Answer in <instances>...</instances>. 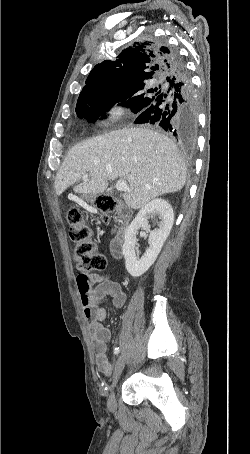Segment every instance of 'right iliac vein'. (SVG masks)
<instances>
[{
    "mask_svg": "<svg viewBox=\"0 0 250 454\" xmlns=\"http://www.w3.org/2000/svg\"><path fill=\"white\" fill-rule=\"evenodd\" d=\"M124 366H125V356H124L123 353H121L118 356V360H117V363H116L114 376H113V382H112L111 391H110V396H109L108 403H107L108 409L110 411H114L116 409V400H115L114 388L116 387V385L118 383V380H119L120 375H121V373H122V371L124 369Z\"/></svg>",
    "mask_w": 250,
    "mask_h": 454,
    "instance_id": "right-iliac-vein-1",
    "label": "right iliac vein"
}]
</instances>
